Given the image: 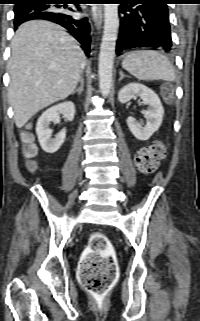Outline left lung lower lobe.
I'll return each mask as SVG.
<instances>
[{
	"label": "left lung lower lobe",
	"mask_w": 200,
	"mask_h": 321,
	"mask_svg": "<svg viewBox=\"0 0 200 321\" xmlns=\"http://www.w3.org/2000/svg\"><path fill=\"white\" fill-rule=\"evenodd\" d=\"M123 15L116 53L137 47L171 50L172 40L167 4L171 0H118ZM128 8V10H126Z\"/></svg>",
	"instance_id": "obj_1"
}]
</instances>
